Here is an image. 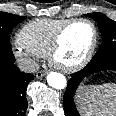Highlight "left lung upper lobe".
Wrapping results in <instances>:
<instances>
[{
	"mask_svg": "<svg viewBox=\"0 0 116 116\" xmlns=\"http://www.w3.org/2000/svg\"><path fill=\"white\" fill-rule=\"evenodd\" d=\"M97 23L102 34V44L95 54L96 57L116 54V22L102 13L87 14Z\"/></svg>",
	"mask_w": 116,
	"mask_h": 116,
	"instance_id": "obj_1",
	"label": "left lung upper lobe"
}]
</instances>
